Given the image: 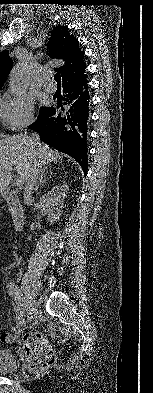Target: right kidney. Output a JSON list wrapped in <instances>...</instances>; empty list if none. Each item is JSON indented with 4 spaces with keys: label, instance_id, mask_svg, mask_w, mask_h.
Masks as SVG:
<instances>
[{
    "label": "right kidney",
    "instance_id": "1",
    "mask_svg": "<svg viewBox=\"0 0 153 393\" xmlns=\"http://www.w3.org/2000/svg\"><path fill=\"white\" fill-rule=\"evenodd\" d=\"M50 194H52V193H50ZM54 195L47 196V198H45V200H43V205L48 207V206H54V204H57L58 201H60V199H58V197L57 198L53 197Z\"/></svg>",
    "mask_w": 153,
    "mask_h": 393
}]
</instances>
